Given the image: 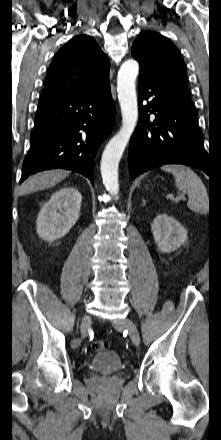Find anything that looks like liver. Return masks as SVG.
I'll use <instances>...</instances> for the list:
<instances>
[{
  "label": "liver",
  "instance_id": "obj_1",
  "mask_svg": "<svg viewBox=\"0 0 221 440\" xmlns=\"http://www.w3.org/2000/svg\"><path fill=\"white\" fill-rule=\"evenodd\" d=\"M69 175L66 170H49L29 177L20 187L21 194H28L38 190L50 188Z\"/></svg>",
  "mask_w": 221,
  "mask_h": 440
}]
</instances>
